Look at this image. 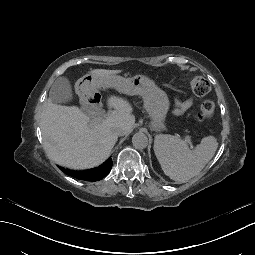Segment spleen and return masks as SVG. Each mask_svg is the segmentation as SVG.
<instances>
[{
  "label": "spleen",
  "instance_id": "obj_1",
  "mask_svg": "<svg viewBox=\"0 0 255 255\" xmlns=\"http://www.w3.org/2000/svg\"><path fill=\"white\" fill-rule=\"evenodd\" d=\"M218 142L214 136H206L193 149L179 137L157 135L153 150L164 174L178 182H185L204 168L213 157Z\"/></svg>",
  "mask_w": 255,
  "mask_h": 255
}]
</instances>
